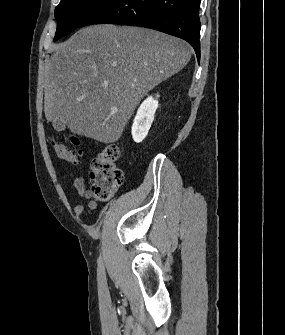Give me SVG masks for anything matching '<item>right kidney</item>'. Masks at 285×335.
<instances>
[{"label":"right kidney","mask_w":285,"mask_h":335,"mask_svg":"<svg viewBox=\"0 0 285 335\" xmlns=\"http://www.w3.org/2000/svg\"><path fill=\"white\" fill-rule=\"evenodd\" d=\"M157 98H159V96H157ZM157 108L158 100H154L152 96H149L147 100H144L140 108H138L132 126V138L137 144L146 138L155 118L154 114Z\"/></svg>","instance_id":"right-kidney-1"}]
</instances>
